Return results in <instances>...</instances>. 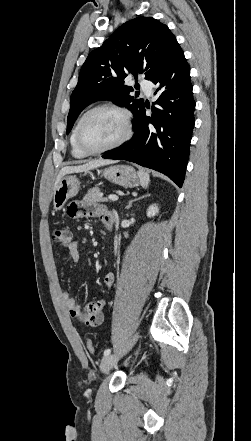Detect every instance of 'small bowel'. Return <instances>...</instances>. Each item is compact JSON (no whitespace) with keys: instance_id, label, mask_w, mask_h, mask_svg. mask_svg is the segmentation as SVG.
<instances>
[{"instance_id":"c3829d8e","label":"small bowel","mask_w":251,"mask_h":441,"mask_svg":"<svg viewBox=\"0 0 251 441\" xmlns=\"http://www.w3.org/2000/svg\"><path fill=\"white\" fill-rule=\"evenodd\" d=\"M68 214L72 218H99L104 224L109 220L114 221V216L110 211L88 200L72 202L68 207ZM64 260L74 263H77L80 260L78 242L72 241L68 245V255ZM114 279L113 272H107L103 277V282L107 287H111L114 283ZM61 299L66 306L69 315L76 319L81 325L86 327H97L103 323L105 310L108 304L105 297L99 298L84 306L78 304L68 291H63L61 293Z\"/></svg>"}]
</instances>
